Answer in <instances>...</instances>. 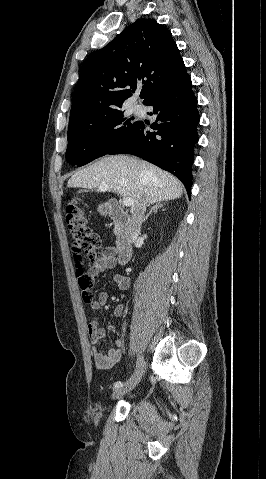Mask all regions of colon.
<instances>
[{"mask_svg":"<svg viewBox=\"0 0 266 479\" xmlns=\"http://www.w3.org/2000/svg\"><path fill=\"white\" fill-rule=\"evenodd\" d=\"M66 224L72 240L71 252L79 288L83 298L93 299V278L85 272L87 261H95L100 254L102 240L88 225L86 212L79 206L70 204L66 209Z\"/></svg>","mask_w":266,"mask_h":479,"instance_id":"obj_1","label":"colon"}]
</instances>
